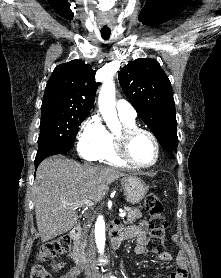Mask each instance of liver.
Returning <instances> with one entry per match:
<instances>
[{
    "label": "liver",
    "instance_id": "6515ba94",
    "mask_svg": "<svg viewBox=\"0 0 221 278\" xmlns=\"http://www.w3.org/2000/svg\"><path fill=\"white\" fill-rule=\"evenodd\" d=\"M126 174L106 167L82 166L63 156L41 162L33 187L36 223L42 242L72 229L78 221L77 204L100 202L109 185ZM81 207V206H80Z\"/></svg>",
    "mask_w": 221,
    "mask_h": 278
}]
</instances>
